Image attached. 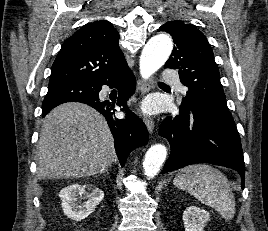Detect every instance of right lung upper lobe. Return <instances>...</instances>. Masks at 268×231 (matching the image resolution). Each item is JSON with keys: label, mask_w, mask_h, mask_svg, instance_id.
<instances>
[{"label": "right lung upper lobe", "mask_w": 268, "mask_h": 231, "mask_svg": "<svg viewBox=\"0 0 268 231\" xmlns=\"http://www.w3.org/2000/svg\"><path fill=\"white\" fill-rule=\"evenodd\" d=\"M112 23L101 20L86 24L61 47L51 68L49 84L74 82L97 86L127 64ZM63 101L43 102L48 110Z\"/></svg>", "instance_id": "obj_1"}]
</instances>
